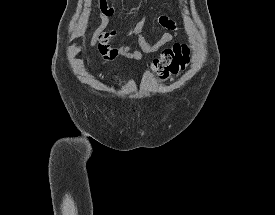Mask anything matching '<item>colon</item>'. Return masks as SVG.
I'll use <instances>...</instances> for the list:
<instances>
[{"label": "colon", "mask_w": 275, "mask_h": 215, "mask_svg": "<svg viewBox=\"0 0 275 215\" xmlns=\"http://www.w3.org/2000/svg\"><path fill=\"white\" fill-rule=\"evenodd\" d=\"M104 2L107 0H103ZM114 2L115 0H111ZM191 60V51L186 43L177 42L162 50L152 62V69L159 80H165L184 71Z\"/></svg>", "instance_id": "obj_1"}]
</instances>
